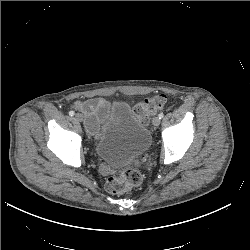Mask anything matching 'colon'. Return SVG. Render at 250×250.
Wrapping results in <instances>:
<instances>
[{
    "mask_svg": "<svg viewBox=\"0 0 250 250\" xmlns=\"http://www.w3.org/2000/svg\"><path fill=\"white\" fill-rule=\"evenodd\" d=\"M165 103V95H154L138 103L134 107V112L141 120L146 121L151 115L162 109ZM141 182L142 174L139 163L134 162L110 177L106 182V189L110 193L121 194L139 186Z\"/></svg>",
    "mask_w": 250,
    "mask_h": 250,
    "instance_id": "obj_1",
    "label": "colon"
}]
</instances>
